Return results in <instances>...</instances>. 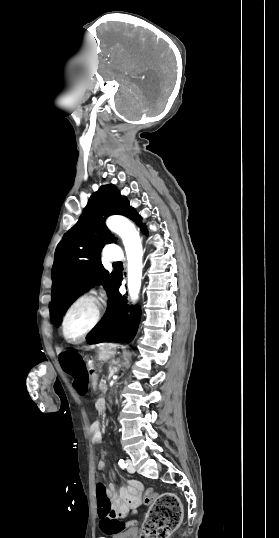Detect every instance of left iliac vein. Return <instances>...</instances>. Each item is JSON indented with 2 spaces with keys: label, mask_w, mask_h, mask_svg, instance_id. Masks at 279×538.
<instances>
[{
  "label": "left iliac vein",
  "mask_w": 279,
  "mask_h": 538,
  "mask_svg": "<svg viewBox=\"0 0 279 538\" xmlns=\"http://www.w3.org/2000/svg\"><path fill=\"white\" fill-rule=\"evenodd\" d=\"M126 462H127V465H128V467H127L128 472H129V473H134V472H135V468H134V466H133L132 461H131L130 459H127Z\"/></svg>",
  "instance_id": "1"
}]
</instances>
